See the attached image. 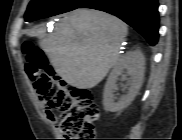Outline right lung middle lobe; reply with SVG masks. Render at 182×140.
<instances>
[{
	"label": "right lung middle lobe",
	"instance_id": "obj_1",
	"mask_svg": "<svg viewBox=\"0 0 182 140\" xmlns=\"http://www.w3.org/2000/svg\"><path fill=\"white\" fill-rule=\"evenodd\" d=\"M87 0H32L25 13V21L31 22L79 8Z\"/></svg>",
	"mask_w": 182,
	"mask_h": 140
}]
</instances>
